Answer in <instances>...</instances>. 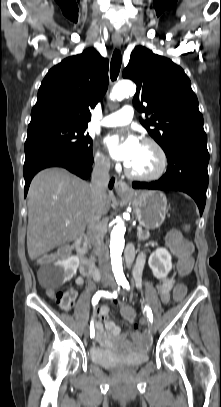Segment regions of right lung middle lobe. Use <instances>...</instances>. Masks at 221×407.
<instances>
[{
	"label": "right lung middle lobe",
	"mask_w": 221,
	"mask_h": 407,
	"mask_svg": "<svg viewBox=\"0 0 221 407\" xmlns=\"http://www.w3.org/2000/svg\"><path fill=\"white\" fill-rule=\"evenodd\" d=\"M87 126L50 124L28 128L25 153L41 145L55 146L70 151L78 158L92 160V139Z\"/></svg>",
	"instance_id": "obj_1"
}]
</instances>
